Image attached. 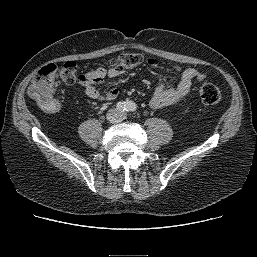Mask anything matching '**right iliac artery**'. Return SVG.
I'll return each mask as SVG.
<instances>
[{
    "mask_svg": "<svg viewBox=\"0 0 257 257\" xmlns=\"http://www.w3.org/2000/svg\"><path fill=\"white\" fill-rule=\"evenodd\" d=\"M116 107H117L118 110L124 111L125 107H126V104H125V102H118Z\"/></svg>",
    "mask_w": 257,
    "mask_h": 257,
    "instance_id": "obj_1",
    "label": "right iliac artery"
}]
</instances>
